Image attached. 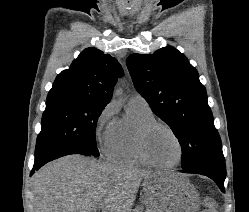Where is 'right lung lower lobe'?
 <instances>
[{
  "label": "right lung lower lobe",
  "mask_w": 249,
  "mask_h": 212,
  "mask_svg": "<svg viewBox=\"0 0 249 212\" xmlns=\"http://www.w3.org/2000/svg\"><path fill=\"white\" fill-rule=\"evenodd\" d=\"M81 153L82 152L79 149L71 147H60L56 149L47 150L39 155H35V162L31 175L34 173L35 170H38L41 166H43L49 161H52L65 155Z\"/></svg>",
  "instance_id": "1"
}]
</instances>
